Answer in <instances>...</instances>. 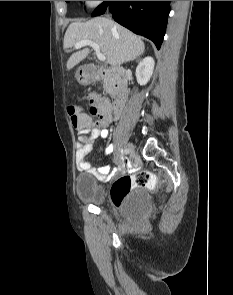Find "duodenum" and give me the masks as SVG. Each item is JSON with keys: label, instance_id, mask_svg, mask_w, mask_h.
<instances>
[{"label": "duodenum", "instance_id": "duodenum-1", "mask_svg": "<svg viewBox=\"0 0 233 295\" xmlns=\"http://www.w3.org/2000/svg\"><path fill=\"white\" fill-rule=\"evenodd\" d=\"M90 76L95 79L107 78L110 80L114 113L119 115L125 106L128 96L125 72L119 68L95 69L90 73Z\"/></svg>", "mask_w": 233, "mask_h": 295}]
</instances>
